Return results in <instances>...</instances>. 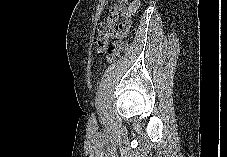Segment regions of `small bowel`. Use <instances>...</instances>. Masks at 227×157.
<instances>
[{
	"label": "small bowel",
	"mask_w": 227,
	"mask_h": 157,
	"mask_svg": "<svg viewBox=\"0 0 227 157\" xmlns=\"http://www.w3.org/2000/svg\"><path fill=\"white\" fill-rule=\"evenodd\" d=\"M138 5H139V2H138L137 0H135L134 2H132V3L129 5V7H128L127 13L130 14V13L134 12V11L138 8ZM113 7H114V6H111V9H112ZM125 29H126L125 27H122V31H121V33H120L119 36H122V35L124 34Z\"/></svg>",
	"instance_id": "obj_1"
}]
</instances>
